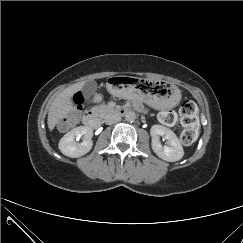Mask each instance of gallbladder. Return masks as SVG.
Instances as JSON below:
<instances>
[{
    "instance_id": "bac80fb5",
    "label": "gallbladder",
    "mask_w": 243,
    "mask_h": 243,
    "mask_svg": "<svg viewBox=\"0 0 243 243\" xmlns=\"http://www.w3.org/2000/svg\"><path fill=\"white\" fill-rule=\"evenodd\" d=\"M97 89V83L95 81H88L83 86V94L86 98H89Z\"/></svg>"
}]
</instances>
